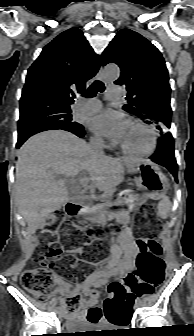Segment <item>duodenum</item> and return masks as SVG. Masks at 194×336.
<instances>
[{"label":"duodenum","instance_id":"1","mask_svg":"<svg viewBox=\"0 0 194 336\" xmlns=\"http://www.w3.org/2000/svg\"><path fill=\"white\" fill-rule=\"evenodd\" d=\"M67 212L71 216L81 215L85 210L86 206L78 203H69L66 207Z\"/></svg>","mask_w":194,"mask_h":336}]
</instances>
